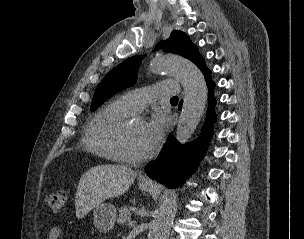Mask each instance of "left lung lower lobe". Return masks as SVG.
<instances>
[{"mask_svg":"<svg viewBox=\"0 0 304 239\" xmlns=\"http://www.w3.org/2000/svg\"><path fill=\"white\" fill-rule=\"evenodd\" d=\"M198 68L205 76L209 91V108L206 121L203 127L202 136L193 144L180 146L178 142L170 136L158 158L149 163L146 167L147 175L152 179H157L160 183L169 188L179 186L192 172L196 163L201 159L208 145L210 132L215 120L213 90L215 83L211 79V71L206 67L204 59ZM179 105V109L181 108Z\"/></svg>","mask_w":304,"mask_h":239,"instance_id":"obj_1","label":"left lung lower lobe"}]
</instances>
